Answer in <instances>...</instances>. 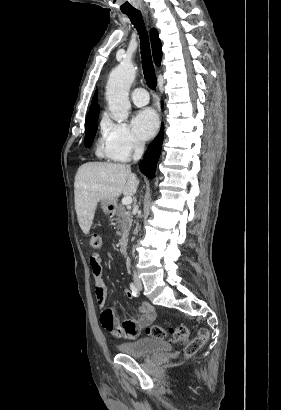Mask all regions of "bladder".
Segmentation results:
<instances>
[{"label": "bladder", "mask_w": 281, "mask_h": 410, "mask_svg": "<svg viewBox=\"0 0 281 410\" xmlns=\"http://www.w3.org/2000/svg\"><path fill=\"white\" fill-rule=\"evenodd\" d=\"M117 350L121 354L141 358L169 352L171 345L160 339L141 337L132 342L118 344Z\"/></svg>", "instance_id": "bladder-1"}]
</instances>
